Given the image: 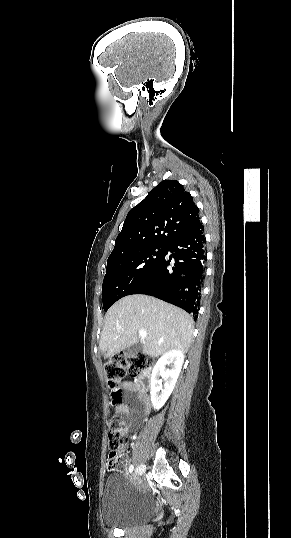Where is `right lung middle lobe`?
Segmentation results:
<instances>
[{
    "label": "right lung middle lobe",
    "mask_w": 291,
    "mask_h": 538,
    "mask_svg": "<svg viewBox=\"0 0 291 538\" xmlns=\"http://www.w3.org/2000/svg\"><path fill=\"white\" fill-rule=\"evenodd\" d=\"M167 245L146 246L107 261L102 287L105 311L120 298L130 295L163 258Z\"/></svg>",
    "instance_id": "right-lung-middle-lobe-1"
}]
</instances>
